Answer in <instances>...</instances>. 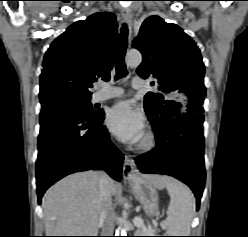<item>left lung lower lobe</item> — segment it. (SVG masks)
I'll return each instance as SVG.
<instances>
[{
  "mask_svg": "<svg viewBox=\"0 0 248 237\" xmlns=\"http://www.w3.org/2000/svg\"><path fill=\"white\" fill-rule=\"evenodd\" d=\"M204 116L183 113L156 133V148L135 159L142 173L166 174L187 184L196 196L197 209L205 184Z\"/></svg>",
  "mask_w": 248,
  "mask_h": 237,
  "instance_id": "0a47b994",
  "label": "left lung lower lobe"
}]
</instances>
